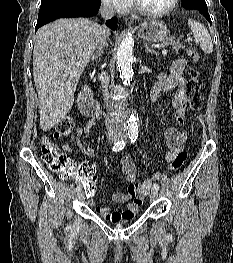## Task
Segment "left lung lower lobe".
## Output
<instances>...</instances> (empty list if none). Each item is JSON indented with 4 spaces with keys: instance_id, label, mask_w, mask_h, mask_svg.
I'll return each instance as SVG.
<instances>
[{
    "instance_id": "0a47b994",
    "label": "left lung lower lobe",
    "mask_w": 233,
    "mask_h": 263,
    "mask_svg": "<svg viewBox=\"0 0 233 263\" xmlns=\"http://www.w3.org/2000/svg\"><path fill=\"white\" fill-rule=\"evenodd\" d=\"M198 11L201 12L206 17V19L211 23L210 15L208 13L207 8L206 9H202V10H198Z\"/></svg>"
}]
</instances>
